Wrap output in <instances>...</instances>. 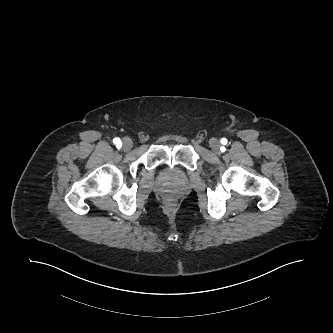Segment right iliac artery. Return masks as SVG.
<instances>
[{"instance_id":"right-iliac-artery-1","label":"right iliac artery","mask_w":333,"mask_h":333,"mask_svg":"<svg viewBox=\"0 0 333 333\" xmlns=\"http://www.w3.org/2000/svg\"><path fill=\"white\" fill-rule=\"evenodd\" d=\"M113 143L117 145V147L121 146V140L119 138H114Z\"/></svg>"}]
</instances>
